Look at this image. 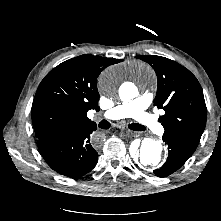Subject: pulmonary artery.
Listing matches in <instances>:
<instances>
[{
    "label": "pulmonary artery",
    "instance_id": "e3ab8cb5",
    "mask_svg": "<svg viewBox=\"0 0 221 221\" xmlns=\"http://www.w3.org/2000/svg\"><path fill=\"white\" fill-rule=\"evenodd\" d=\"M152 102L151 94H143L138 98L116 105L103 113L104 118L115 120L132 117L153 133L160 134L164 128L147 108Z\"/></svg>",
    "mask_w": 221,
    "mask_h": 221
}]
</instances>
